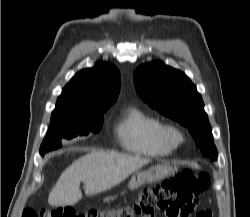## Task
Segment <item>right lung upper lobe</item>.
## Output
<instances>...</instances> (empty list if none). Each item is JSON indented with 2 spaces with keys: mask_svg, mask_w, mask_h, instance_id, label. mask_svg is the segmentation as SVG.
<instances>
[{
  "mask_svg": "<svg viewBox=\"0 0 250 217\" xmlns=\"http://www.w3.org/2000/svg\"><path fill=\"white\" fill-rule=\"evenodd\" d=\"M119 90V71L110 63L98 62L77 73L64 87L51 120L105 112L116 101Z\"/></svg>",
  "mask_w": 250,
  "mask_h": 217,
  "instance_id": "right-lung-upper-lobe-1",
  "label": "right lung upper lobe"
}]
</instances>
